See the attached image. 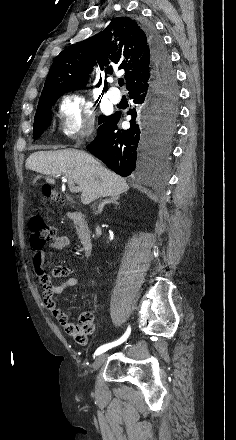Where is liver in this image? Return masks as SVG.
<instances>
[{
    "label": "liver",
    "mask_w": 236,
    "mask_h": 440,
    "mask_svg": "<svg viewBox=\"0 0 236 440\" xmlns=\"http://www.w3.org/2000/svg\"><path fill=\"white\" fill-rule=\"evenodd\" d=\"M26 168L53 177L63 175L74 181L81 189L84 205L98 198L119 196L129 190L124 178L106 169L84 151L65 149L34 152L27 158ZM47 181L55 183L51 178H47Z\"/></svg>",
    "instance_id": "6515ba94"
}]
</instances>
